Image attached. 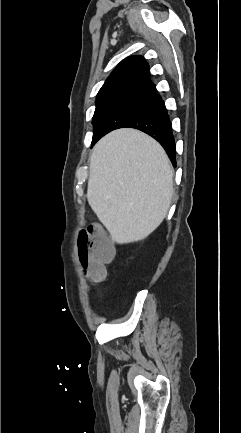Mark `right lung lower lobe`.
<instances>
[{
    "instance_id": "right-lung-lower-lobe-1",
    "label": "right lung lower lobe",
    "mask_w": 241,
    "mask_h": 433,
    "mask_svg": "<svg viewBox=\"0 0 241 433\" xmlns=\"http://www.w3.org/2000/svg\"><path fill=\"white\" fill-rule=\"evenodd\" d=\"M123 127L136 128L152 136L163 146L175 166V141L171 121L158 94L155 93L148 106Z\"/></svg>"
}]
</instances>
